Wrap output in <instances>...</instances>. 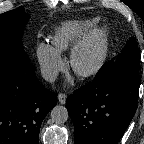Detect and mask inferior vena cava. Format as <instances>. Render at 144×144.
I'll use <instances>...</instances> for the list:
<instances>
[{"label":"inferior vena cava","instance_id":"inferior-vena-cava-1","mask_svg":"<svg viewBox=\"0 0 144 144\" xmlns=\"http://www.w3.org/2000/svg\"><path fill=\"white\" fill-rule=\"evenodd\" d=\"M58 76L57 69H44L42 70V77L49 82H54Z\"/></svg>","mask_w":144,"mask_h":144}]
</instances>
